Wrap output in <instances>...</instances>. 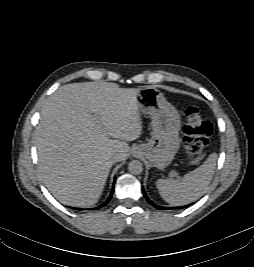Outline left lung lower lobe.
Returning <instances> with one entry per match:
<instances>
[{
	"instance_id": "0a47b994",
	"label": "left lung lower lobe",
	"mask_w": 254,
	"mask_h": 267,
	"mask_svg": "<svg viewBox=\"0 0 254 267\" xmlns=\"http://www.w3.org/2000/svg\"><path fill=\"white\" fill-rule=\"evenodd\" d=\"M143 194H144V197L146 198L147 202L150 203L152 206L156 207L157 209H161V210L173 209V208L162 207V206H158V205L154 204L151 200H149V198H148L147 195L145 194L144 190H143ZM184 207H185V206H183V207H179V208H184Z\"/></svg>"
}]
</instances>
